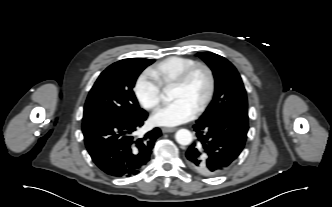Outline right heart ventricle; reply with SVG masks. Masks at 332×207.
Instances as JSON below:
<instances>
[{
  "label": "right heart ventricle",
  "mask_w": 332,
  "mask_h": 207,
  "mask_svg": "<svg viewBox=\"0 0 332 207\" xmlns=\"http://www.w3.org/2000/svg\"><path fill=\"white\" fill-rule=\"evenodd\" d=\"M196 62L188 57L170 56L150 68L149 73L162 87H168L183 71Z\"/></svg>",
  "instance_id": "e07e8e85"
}]
</instances>
